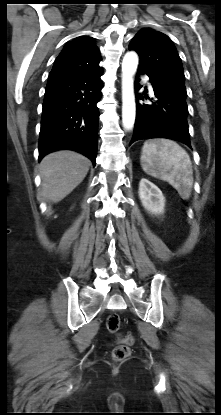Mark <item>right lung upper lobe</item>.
Here are the masks:
<instances>
[{"label":"right lung upper lobe","mask_w":221,"mask_h":415,"mask_svg":"<svg viewBox=\"0 0 221 415\" xmlns=\"http://www.w3.org/2000/svg\"><path fill=\"white\" fill-rule=\"evenodd\" d=\"M101 55L94 40L80 36L68 42L55 60L48 81L90 74L102 70Z\"/></svg>","instance_id":"obj_1"}]
</instances>
